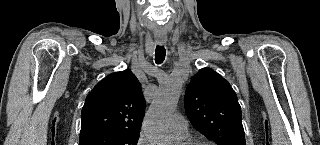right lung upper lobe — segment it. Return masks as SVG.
Instances as JSON below:
<instances>
[{
	"mask_svg": "<svg viewBox=\"0 0 320 145\" xmlns=\"http://www.w3.org/2000/svg\"><path fill=\"white\" fill-rule=\"evenodd\" d=\"M145 112L141 84L129 70L112 73L88 94L80 137L104 132H139Z\"/></svg>",
	"mask_w": 320,
	"mask_h": 145,
	"instance_id": "right-lung-upper-lobe-1",
	"label": "right lung upper lobe"
}]
</instances>
